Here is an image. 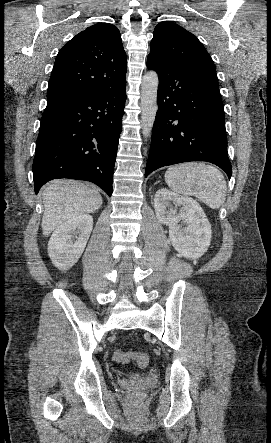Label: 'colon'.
<instances>
[{"label": "colon", "mask_w": 271, "mask_h": 443, "mask_svg": "<svg viewBox=\"0 0 271 443\" xmlns=\"http://www.w3.org/2000/svg\"><path fill=\"white\" fill-rule=\"evenodd\" d=\"M114 360L122 364H127L130 361H134L139 367H145L148 363V357L143 352H124L121 350L115 351ZM139 399V393H133L130 396V400L132 402H137Z\"/></svg>", "instance_id": "5ec220e1"}]
</instances>
